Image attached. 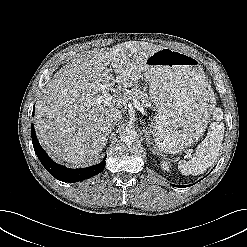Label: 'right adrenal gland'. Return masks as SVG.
<instances>
[{
  "label": "right adrenal gland",
  "instance_id": "2a0ac1e0",
  "mask_svg": "<svg viewBox=\"0 0 247 247\" xmlns=\"http://www.w3.org/2000/svg\"><path fill=\"white\" fill-rule=\"evenodd\" d=\"M111 131H112V129H108L107 136H109V134L111 133ZM107 140H108V138H107Z\"/></svg>",
  "mask_w": 247,
  "mask_h": 247
}]
</instances>
